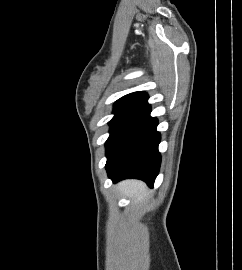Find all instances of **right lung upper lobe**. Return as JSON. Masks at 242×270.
Masks as SVG:
<instances>
[{"mask_svg": "<svg viewBox=\"0 0 242 270\" xmlns=\"http://www.w3.org/2000/svg\"><path fill=\"white\" fill-rule=\"evenodd\" d=\"M148 100V95L143 92H134L130 93L128 95L123 96L117 102L115 105H125V106H134V107H139L141 105H144L147 103Z\"/></svg>", "mask_w": 242, "mask_h": 270, "instance_id": "cb5924a9", "label": "right lung upper lobe"}]
</instances>
